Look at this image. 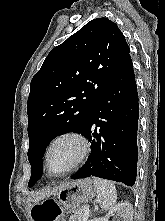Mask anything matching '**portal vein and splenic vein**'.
I'll list each match as a JSON object with an SVG mask.
<instances>
[{
  "mask_svg": "<svg viewBox=\"0 0 165 221\" xmlns=\"http://www.w3.org/2000/svg\"><path fill=\"white\" fill-rule=\"evenodd\" d=\"M84 212H85V219H87L88 218L87 214L89 213V208L84 207Z\"/></svg>",
  "mask_w": 165,
  "mask_h": 221,
  "instance_id": "18ae733b",
  "label": "portal vein and splenic vein"
}]
</instances>
